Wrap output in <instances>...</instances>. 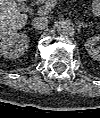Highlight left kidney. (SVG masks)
<instances>
[{"label": "left kidney", "instance_id": "obj_1", "mask_svg": "<svg viewBox=\"0 0 100 118\" xmlns=\"http://www.w3.org/2000/svg\"><path fill=\"white\" fill-rule=\"evenodd\" d=\"M99 41H100L99 36H93L89 38L85 43L86 51L94 60L97 61L100 60V49L97 46Z\"/></svg>", "mask_w": 100, "mask_h": 118}]
</instances>
